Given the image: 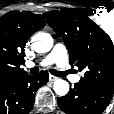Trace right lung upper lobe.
<instances>
[{"mask_svg":"<svg viewBox=\"0 0 114 114\" xmlns=\"http://www.w3.org/2000/svg\"><path fill=\"white\" fill-rule=\"evenodd\" d=\"M45 24L41 15L28 11L9 12L0 17V82L27 74L20 68L25 63V44Z\"/></svg>","mask_w":114,"mask_h":114,"instance_id":"1","label":"right lung upper lobe"}]
</instances>
